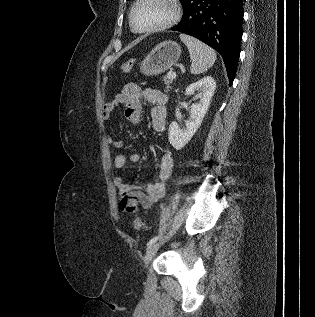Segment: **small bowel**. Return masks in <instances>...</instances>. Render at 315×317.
Wrapping results in <instances>:
<instances>
[{"label":"small bowel","instance_id":"small-bowel-1","mask_svg":"<svg viewBox=\"0 0 315 317\" xmlns=\"http://www.w3.org/2000/svg\"><path fill=\"white\" fill-rule=\"evenodd\" d=\"M142 102L150 106L153 130L163 132L167 123V96L158 90H143L134 83L125 85L121 93L105 104L103 118L108 119L119 106H122L126 119L130 123L138 125L142 118ZM106 143L114 149H121L124 145L122 141L115 139L112 135L106 137ZM139 160L140 155L138 153L118 154L114 158V166L120 169L128 163H136ZM172 168V155L169 151H165L160 160L156 181L147 184H134L125 182L121 176H116L114 183L117 188L119 208L130 214L136 213L140 207L150 208L164 196L166 183L170 178Z\"/></svg>","mask_w":315,"mask_h":317}]
</instances>
